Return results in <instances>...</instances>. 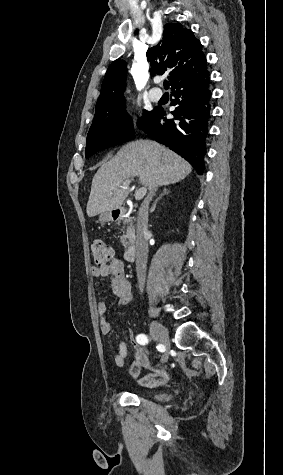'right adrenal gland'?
I'll list each match as a JSON object with an SVG mask.
<instances>
[{
  "mask_svg": "<svg viewBox=\"0 0 283 475\" xmlns=\"http://www.w3.org/2000/svg\"><path fill=\"white\" fill-rule=\"evenodd\" d=\"M167 194H169V190H166V188H164L163 194H161L160 198H157V200H155V202H153V204L151 206V210H155V208L157 206V202H159V200H161V198H163V196H167Z\"/></svg>",
  "mask_w": 283,
  "mask_h": 475,
  "instance_id": "obj_1",
  "label": "right adrenal gland"
}]
</instances>
